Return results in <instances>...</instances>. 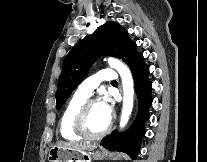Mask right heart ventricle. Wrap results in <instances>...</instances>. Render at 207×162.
<instances>
[{
    "label": "right heart ventricle",
    "mask_w": 207,
    "mask_h": 162,
    "mask_svg": "<svg viewBox=\"0 0 207 162\" xmlns=\"http://www.w3.org/2000/svg\"><path fill=\"white\" fill-rule=\"evenodd\" d=\"M87 100L78 93H75L66 104L59 121V132L63 139L68 141H78L82 137L78 136L72 129V122L76 111Z\"/></svg>",
    "instance_id": "obj_1"
}]
</instances>
